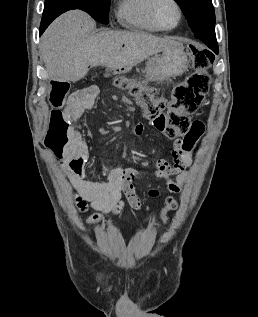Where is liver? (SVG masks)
<instances>
[{"mask_svg":"<svg viewBox=\"0 0 258 317\" xmlns=\"http://www.w3.org/2000/svg\"><path fill=\"white\" fill-rule=\"evenodd\" d=\"M95 20L83 10H68L46 28L41 42L45 66L55 80H80L89 66H135L151 54L179 46L174 36L140 30H101L91 34Z\"/></svg>","mask_w":258,"mask_h":317,"instance_id":"1","label":"liver"}]
</instances>
